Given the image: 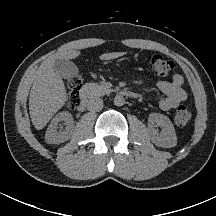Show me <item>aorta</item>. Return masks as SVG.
<instances>
[{
    "label": "aorta",
    "mask_w": 216,
    "mask_h": 216,
    "mask_svg": "<svg viewBox=\"0 0 216 216\" xmlns=\"http://www.w3.org/2000/svg\"><path fill=\"white\" fill-rule=\"evenodd\" d=\"M124 104H125L124 97L121 95H116L114 98V105L120 107L123 106Z\"/></svg>",
    "instance_id": "1"
}]
</instances>
